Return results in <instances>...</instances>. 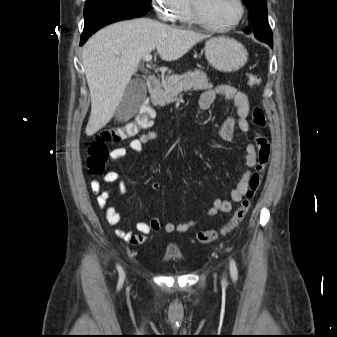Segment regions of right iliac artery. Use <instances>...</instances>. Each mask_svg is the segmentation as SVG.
Here are the masks:
<instances>
[{"instance_id": "82829eb1", "label": "right iliac artery", "mask_w": 337, "mask_h": 337, "mask_svg": "<svg viewBox=\"0 0 337 337\" xmlns=\"http://www.w3.org/2000/svg\"><path fill=\"white\" fill-rule=\"evenodd\" d=\"M117 269H118L119 274H120V282H123V280H124V274H123L122 268L118 265Z\"/></svg>"}]
</instances>
